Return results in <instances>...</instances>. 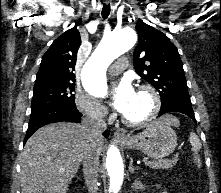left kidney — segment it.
I'll return each instance as SVG.
<instances>
[{"label": "left kidney", "mask_w": 221, "mask_h": 193, "mask_svg": "<svg viewBox=\"0 0 221 193\" xmlns=\"http://www.w3.org/2000/svg\"><path fill=\"white\" fill-rule=\"evenodd\" d=\"M157 187H160L159 185H157ZM163 193H167L166 191H164Z\"/></svg>", "instance_id": "1"}]
</instances>
